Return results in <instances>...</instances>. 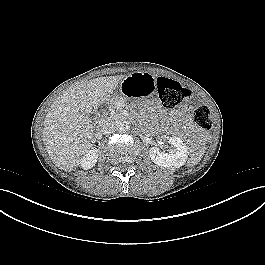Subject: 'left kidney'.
Wrapping results in <instances>:
<instances>
[{"label":"left kidney","mask_w":265,"mask_h":265,"mask_svg":"<svg viewBox=\"0 0 265 265\" xmlns=\"http://www.w3.org/2000/svg\"><path fill=\"white\" fill-rule=\"evenodd\" d=\"M169 143L172 148L166 153L162 152L157 146L150 148V158L156 165L161 167L180 168L188 159V147L176 136L170 137Z\"/></svg>","instance_id":"left-kidney-1"}]
</instances>
